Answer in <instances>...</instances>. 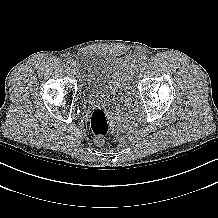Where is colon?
Here are the masks:
<instances>
[{"instance_id": "colon-1", "label": "colon", "mask_w": 218, "mask_h": 218, "mask_svg": "<svg viewBox=\"0 0 218 218\" xmlns=\"http://www.w3.org/2000/svg\"><path fill=\"white\" fill-rule=\"evenodd\" d=\"M90 126L95 142L99 145L104 144L110 133L109 118L104 109L96 108L93 110L90 117Z\"/></svg>"}]
</instances>
